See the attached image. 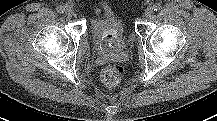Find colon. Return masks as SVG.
<instances>
[{
    "label": "colon",
    "mask_w": 217,
    "mask_h": 121,
    "mask_svg": "<svg viewBox=\"0 0 217 121\" xmlns=\"http://www.w3.org/2000/svg\"><path fill=\"white\" fill-rule=\"evenodd\" d=\"M125 76V69L119 64L106 66L101 74L102 81L107 86H115L119 84Z\"/></svg>",
    "instance_id": "1"
}]
</instances>
